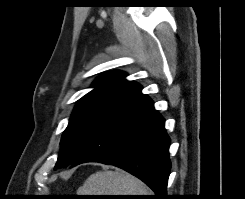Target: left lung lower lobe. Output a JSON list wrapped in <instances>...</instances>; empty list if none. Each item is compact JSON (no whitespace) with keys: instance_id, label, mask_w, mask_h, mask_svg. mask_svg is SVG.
<instances>
[{"instance_id":"0a47b994","label":"left lung lower lobe","mask_w":245,"mask_h":199,"mask_svg":"<svg viewBox=\"0 0 245 199\" xmlns=\"http://www.w3.org/2000/svg\"><path fill=\"white\" fill-rule=\"evenodd\" d=\"M169 145L164 119L142 95L91 139L71 168L84 162L114 165L146 183L156 199H164L171 168Z\"/></svg>"}]
</instances>
